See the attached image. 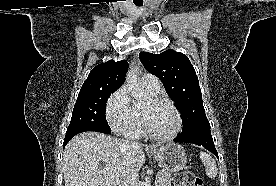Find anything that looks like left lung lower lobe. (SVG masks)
<instances>
[{"instance_id":"1","label":"left lung lower lobe","mask_w":276,"mask_h":186,"mask_svg":"<svg viewBox=\"0 0 276 186\" xmlns=\"http://www.w3.org/2000/svg\"><path fill=\"white\" fill-rule=\"evenodd\" d=\"M174 141L192 143L202 146L212 152L218 158V153L214 146L210 128L199 129L183 136L179 135L176 139H174Z\"/></svg>"}]
</instances>
